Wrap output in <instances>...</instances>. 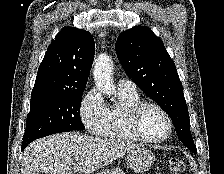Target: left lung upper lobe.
<instances>
[{"label":"left lung upper lobe","instance_id":"5c2ea615","mask_svg":"<svg viewBox=\"0 0 224 174\" xmlns=\"http://www.w3.org/2000/svg\"><path fill=\"white\" fill-rule=\"evenodd\" d=\"M115 48L127 75L170 116L179 140L196 153L183 87L161 40L138 26L121 33Z\"/></svg>","mask_w":224,"mask_h":174}]
</instances>
